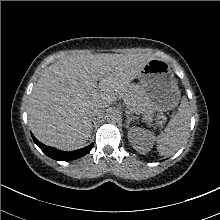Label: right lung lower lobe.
Wrapping results in <instances>:
<instances>
[{"mask_svg": "<svg viewBox=\"0 0 220 220\" xmlns=\"http://www.w3.org/2000/svg\"><path fill=\"white\" fill-rule=\"evenodd\" d=\"M32 138L34 140V142L37 144V146L50 158H53L55 160H61V161H70V160H74L77 158H80L84 155H86L91 148L93 147V144H90L89 146L76 150V151H72V152H62L59 151L55 148L46 146L42 143H40L31 133Z\"/></svg>", "mask_w": 220, "mask_h": 220, "instance_id": "1", "label": "right lung lower lobe"}]
</instances>
